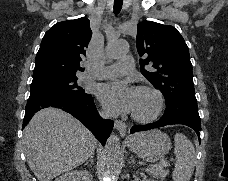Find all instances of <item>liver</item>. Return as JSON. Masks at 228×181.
Segmentation results:
<instances>
[{
	"instance_id": "obj_1",
	"label": "liver",
	"mask_w": 228,
	"mask_h": 181,
	"mask_svg": "<svg viewBox=\"0 0 228 181\" xmlns=\"http://www.w3.org/2000/svg\"><path fill=\"white\" fill-rule=\"evenodd\" d=\"M96 139L80 121L61 109H41L24 129L29 169L38 181H52L94 155Z\"/></svg>"
}]
</instances>
